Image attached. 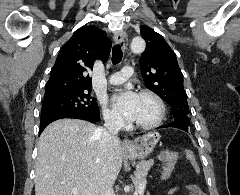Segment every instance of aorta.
I'll list each match as a JSON object with an SVG mask.
<instances>
[{
	"label": "aorta",
	"instance_id": "aorta-1",
	"mask_svg": "<svg viewBox=\"0 0 240 195\" xmlns=\"http://www.w3.org/2000/svg\"><path fill=\"white\" fill-rule=\"evenodd\" d=\"M130 48L133 54H140L145 50V42L142 38H133Z\"/></svg>",
	"mask_w": 240,
	"mask_h": 195
}]
</instances>
